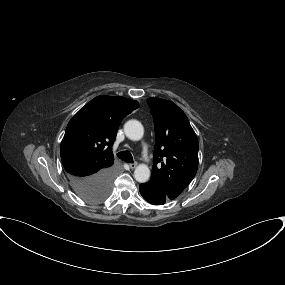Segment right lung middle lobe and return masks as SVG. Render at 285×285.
<instances>
[{"label":"right lung middle lobe","mask_w":285,"mask_h":285,"mask_svg":"<svg viewBox=\"0 0 285 285\" xmlns=\"http://www.w3.org/2000/svg\"><path fill=\"white\" fill-rule=\"evenodd\" d=\"M109 193V191L105 190H93L80 195V197L87 202L98 203L105 200L108 197Z\"/></svg>","instance_id":"dd1d6c3e"}]
</instances>
